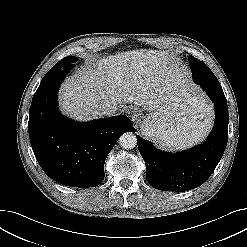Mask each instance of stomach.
I'll use <instances>...</instances> for the list:
<instances>
[{
	"label": "stomach",
	"instance_id": "obj_1",
	"mask_svg": "<svg viewBox=\"0 0 247 247\" xmlns=\"http://www.w3.org/2000/svg\"><path fill=\"white\" fill-rule=\"evenodd\" d=\"M195 103L198 111L190 115L184 108L188 103ZM210 106L199 91L189 83L173 88L169 98L164 100L142 122L141 130L145 136L153 138L161 147L185 148L201 138L208 127L198 128L210 119L207 109Z\"/></svg>",
	"mask_w": 247,
	"mask_h": 247
}]
</instances>
